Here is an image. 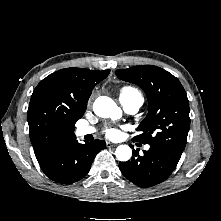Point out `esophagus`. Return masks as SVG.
<instances>
[{"instance_id": "34e87169", "label": "esophagus", "mask_w": 221, "mask_h": 221, "mask_svg": "<svg viewBox=\"0 0 221 221\" xmlns=\"http://www.w3.org/2000/svg\"><path fill=\"white\" fill-rule=\"evenodd\" d=\"M106 146H107L108 148H113V147H116L117 144H114V143H111V142H106Z\"/></svg>"}]
</instances>
